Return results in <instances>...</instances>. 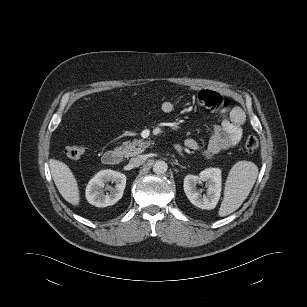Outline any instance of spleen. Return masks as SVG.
I'll list each match as a JSON object with an SVG mask.
<instances>
[{"label": "spleen", "instance_id": "obj_1", "mask_svg": "<svg viewBox=\"0 0 307 307\" xmlns=\"http://www.w3.org/2000/svg\"><path fill=\"white\" fill-rule=\"evenodd\" d=\"M258 176V167L250 161H239L228 174L224 198L219 208V216L224 217L237 210L249 195Z\"/></svg>", "mask_w": 307, "mask_h": 307}]
</instances>
